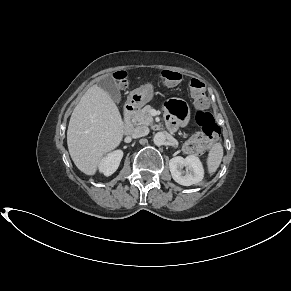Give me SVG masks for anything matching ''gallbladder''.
<instances>
[{
    "instance_id": "gallbladder-1",
    "label": "gallbladder",
    "mask_w": 291,
    "mask_h": 291,
    "mask_svg": "<svg viewBox=\"0 0 291 291\" xmlns=\"http://www.w3.org/2000/svg\"><path fill=\"white\" fill-rule=\"evenodd\" d=\"M97 85L101 89L106 91L115 102L117 103L120 102L121 100L120 90L113 75L107 74V75L102 76L97 81Z\"/></svg>"
}]
</instances>
